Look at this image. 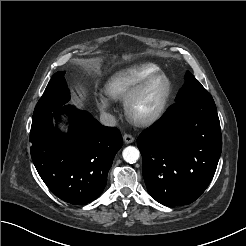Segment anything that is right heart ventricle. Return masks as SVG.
<instances>
[{"label":"right heart ventricle","instance_id":"1","mask_svg":"<svg viewBox=\"0 0 246 246\" xmlns=\"http://www.w3.org/2000/svg\"><path fill=\"white\" fill-rule=\"evenodd\" d=\"M161 72V68L153 63H142L123 68L114 73L106 83L109 97L122 100L145 78Z\"/></svg>","mask_w":246,"mask_h":246}]
</instances>
